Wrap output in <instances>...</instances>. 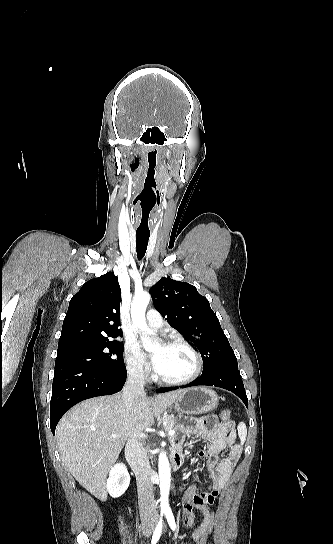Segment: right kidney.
I'll use <instances>...</instances> for the list:
<instances>
[{"label":"right kidney","instance_id":"right-kidney-1","mask_svg":"<svg viewBox=\"0 0 333 544\" xmlns=\"http://www.w3.org/2000/svg\"><path fill=\"white\" fill-rule=\"evenodd\" d=\"M130 484V476L126 466L123 463L114 465L107 479L106 489L113 498L120 497Z\"/></svg>","mask_w":333,"mask_h":544}]
</instances>
